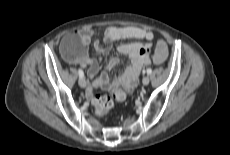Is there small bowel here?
<instances>
[{
  "label": "small bowel",
  "instance_id": "obj_1",
  "mask_svg": "<svg viewBox=\"0 0 230 155\" xmlns=\"http://www.w3.org/2000/svg\"><path fill=\"white\" fill-rule=\"evenodd\" d=\"M97 34L95 30L91 29L76 31L67 36L61 45V53L66 61L81 67H88L87 74L92 78L99 72L100 65L98 59L88 56L87 47L92 44L100 55L109 51V47H102L96 39ZM75 39L81 41V52L79 53L71 45ZM131 39L145 40L146 43L130 42L118 46V52L129 57V64L119 77L109 80L108 73L118 64L119 59L112 57L109 60L105 69L86 90L87 98L92 99L93 103V90L97 88L110 89L113 93L119 94V101H123L126 94L135 88L142 68L151 63L150 44L154 39L152 32L133 26H111L103 32V41L108 45L116 41Z\"/></svg>",
  "mask_w": 230,
  "mask_h": 155
}]
</instances>
